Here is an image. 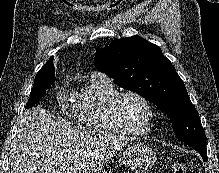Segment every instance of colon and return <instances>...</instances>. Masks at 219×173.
<instances>
[{
    "label": "colon",
    "instance_id": "1",
    "mask_svg": "<svg viewBox=\"0 0 219 173\" xmlns=\"http://www.w3.org/2000/svg\"><path fill=\"white\" fill-rule=\"evenodd\" d=\"M172 173H186L187 168L183 162L176 161L171 166Z\"/></svg>",
    "mask_w": 219,
    "mask_h": 173
}]
</instances>
